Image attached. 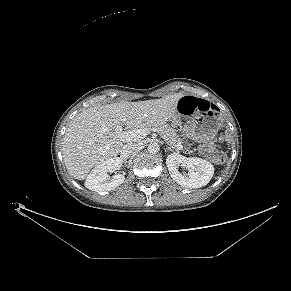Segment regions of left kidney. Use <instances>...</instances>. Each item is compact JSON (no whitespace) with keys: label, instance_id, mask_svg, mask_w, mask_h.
<instances>
[{"label":"left kidney","instance_id":"left-kidney-1","mask_svg":"<svg viewBox=\"0 0 291 291\" xmlns=\"http://www.w3.org/2000/svg\"><path fill=\"white\" fill-rule=\"evenodd\" d=\"M166 165L172 179L184 188H200L209 183L214 174L213 165L201 158H187L179 153L167 156ZM183 167L188 173H181L179 168Z\"/></svg>","mask_w":291,"mask_h":291}]
</instances>
